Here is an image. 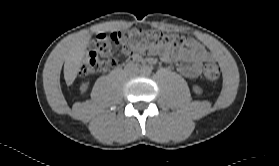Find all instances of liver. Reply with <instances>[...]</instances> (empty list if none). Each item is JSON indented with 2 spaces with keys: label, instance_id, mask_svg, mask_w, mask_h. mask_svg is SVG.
I'll use <instances>...</instances> for the list:
<instances>
[{
  "label": "liver",
  "instance_id": "obj_1",
  "mask_svg": "<svg viewBox=\"0 0 279 166\" xmlns=\"http://www.w3.org/2000/svg\"><path fill=\"white\" fill-rule=\"evenodd\" d=\"M91 35L77 38L68 50L64 64V78L66 84L70 86L80 71L82 60L85 56L86 48L89 44Z\"/></svg>",
  "mask_w": 279,
  "mask_h": 166
}]
</instances>
